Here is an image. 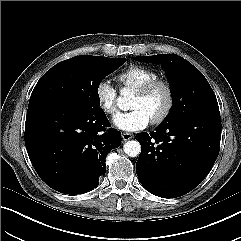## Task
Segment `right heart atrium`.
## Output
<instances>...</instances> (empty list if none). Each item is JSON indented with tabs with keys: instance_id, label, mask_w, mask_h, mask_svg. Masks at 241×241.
<instances>
[{
	"instance_id": "1",
	"label": "right heart atrium",
	"mask_w": 241,
	"mask_h": 241,
	"mask_svg": "<svg viewBox=\"0 0 241 241\" xmlns=\"http://www.w3.org/2000/svg\"><path fill=\"white\" fill-rule=\"evenodd\" d=\"M94 93L97 103L104 113L107 115L116 114L118 110L117 91L109 80H100L95 87Z\"/></svg>"
}]
</instances>
